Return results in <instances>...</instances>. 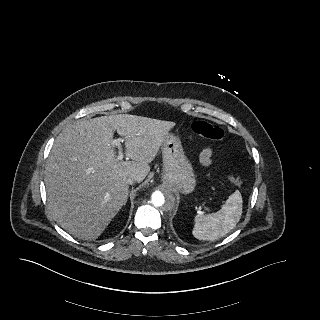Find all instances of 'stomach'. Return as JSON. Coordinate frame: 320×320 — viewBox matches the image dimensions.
<instances>
[{
    "label": "stomach",
    "mask_w": 320,
    "mask_h": 320,
    "mask_svg": "<svg viewBox=\"0 0 320 320\" xmlns=\"http://www.w3.org/2000/svg\"><path fill=\"white\" fill-rule=\"evenodd\" d=\"M161 151L162 181L183 194L193 192L196 187V177L179 138L168 133L162 142Z\"/></svg>",
    "instance_id": "obj_1"
}]
</instances>
